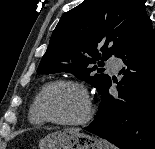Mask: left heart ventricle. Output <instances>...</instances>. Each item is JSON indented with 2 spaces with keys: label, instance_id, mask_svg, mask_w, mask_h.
I'll list each match as a JSON object with an SVG mask.
<instances>
[{
  "label": "left heart ventricle",
  "instance_id": "left-heart-ventricle-1",
  "mask_svg": "<svg viewBox=\"0 0 155 149\" xmlns=\"http://www.w3.org/2000/svg\"><path fill=\"white\" fill-rule=\"evenodd\" d=\"M43 106L52 118L59 120H77L85 113L82 93L70 85H55L49 88L44 95Z\"/></svg>",
  "mask_w": 155,
  "mask_h": 149
}]
</instances>
